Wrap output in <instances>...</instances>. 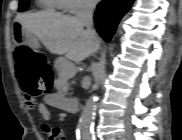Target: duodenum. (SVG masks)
Masks as SVG:
<instances>
[{
	"label": "duodenum",
	"mask_w": 182,
	"mask_h": 140,
	"mask_svg": "<svg viewBox=\"0 0 182 140\" xmlns=\"http://www.w3.org/2000/svg\"><path fill=\"white\" fill-rule=\"evenodd\" d=\"M63 107L68 110H77L80 107V102L78 99H70L64 103Z\"/></svg>",
	"instance_id": "duodenum-1"
}]
</instances>
